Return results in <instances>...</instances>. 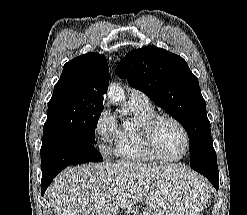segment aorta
Instances as JSON below:
<instances>
[{
    "label": "aorta",
    "mask_w": 247,
    "mask_h": 215,
    "mask_svg": "<svg viewBox=\"0 0 247 215\" xmlns=\"http://www.w3.org/2000/svg\"><path fill=\"white\" fill-rule=\"evenodd\" d=\"M108 98L113 104H117L125 99L124 90L119 84L112 83L107 92Z\"/></svg>",
    "instance_id": "obj_1"
}]
</instances>
